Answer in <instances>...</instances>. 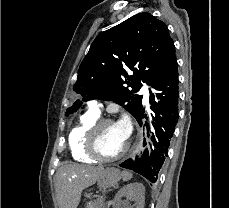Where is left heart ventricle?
<instances>
[{
    "label": "left heart ventricle",
    "instance_id": "obj_1",
    "mask_svg": "<svg viewBox=\"0 0 229 208\" xmlns=\"http://www.w3.org/2000/svg\"><path fill=\"white\" fill-rule=\"evenodd\" d=\"M101 139H96L97 152H102V157H115L127 143L116 124H106L100 131Z\"/></svg>",
    "mask_w": 229,
    "mask_h": 208
}]
</instances>
